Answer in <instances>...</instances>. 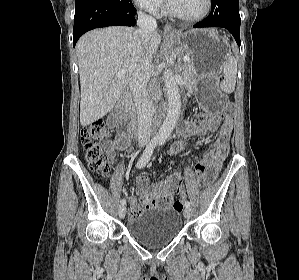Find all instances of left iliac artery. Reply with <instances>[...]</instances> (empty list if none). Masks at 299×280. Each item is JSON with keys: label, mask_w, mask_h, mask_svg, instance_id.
<instances>
[{"label": "left iliac artery", "mask_w": 299, "mask_h": 280, "mask_svg": "<svg viewBox=\"0 0 299 280\" xmlns=\"http://www.w3.org/2000/svg\"><path fill=\"white\" fill-rule=\"evenodd\" d=\"M164 141H165V140H163V139L159 140L158 145H159V146L162 145V144L164 143ZM185 206H186V207H190V202H189V201H186V202H185Z\"/></svg>", "instance_id": "1"}]
</instances>
